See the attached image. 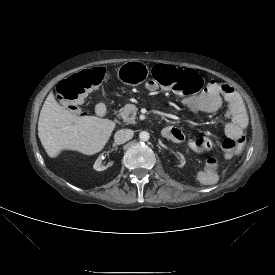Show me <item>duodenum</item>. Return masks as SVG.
I'll use <instances>...</instances> for the list:
<instances>
[{
	"instance_id": "obj_1",
	"label": "duodenum",
	"mask_w": 275,
	"mask_h": 275,
	"mask_svg": "<svg viewBox=\"0 0 275 275\" xmlns=\"http://www.w3.org/2000/svg\"><path fill=\"white\" fill-rule=\"evenodd\" d=\"M95 111L98 117H103L107 112L106 103L101 100L96 104Z\"/></svg>"
}]
</instances>
